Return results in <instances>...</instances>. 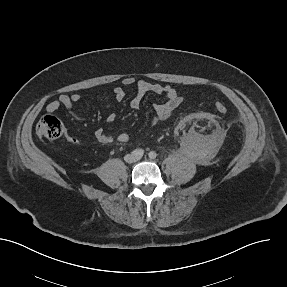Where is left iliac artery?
Listing matches in <instances>:
<instances>
[{
    "instance_id": "44dca946",
    "label": "left iliac artery",
    "mask_w": 287,
    "mask_h": 287,
    "mask_svg": "<svg viewBox=\"0 0 287 287\" xmlns=\"http://www.w3.org/2000/svg\"><path fill=\"white\" fill-rule=\"evenodd\" d=\"M148 155L151 159H154L157 156L156 152H154V151H151Z\"/></svg>"
}]
</instances>
